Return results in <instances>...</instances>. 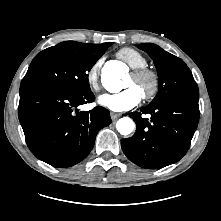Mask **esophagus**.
<instances>
[{
  "instance_id": "1",
  "label": "esophagus",
  "mask_w": 221,
  "mask_h": 221,
  "mask_svg": "<svg viewBox=\"0 0 221 221\" xmlns=\"http://www.w3.org/2000/svg\"><path fill=\"white\" fill-rule=\"evenodd\" d=\"M110 116H111V119H112L113 121H115V120H117V119L121 116V114L115 113V112H111V113H110Z\"/></svg>"
}]
</instances>
